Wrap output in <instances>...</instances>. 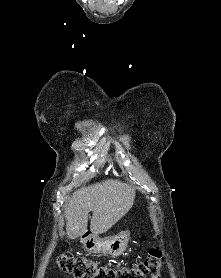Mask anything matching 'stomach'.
I'll list each match as a JSON object with an SVG mask.
<instances>
[{"label": "stomach", "mask_w": 221, "mask_h": 278, "mask_svg": "<svg viewBox=\"0 0 221 278\" xmlns=\"http://www.w3.org/2000/svg\"><path fill=\"white\" fill-rule=\"evenodd\" d=\"M129 239V231L106 238H100L94 233L81 236V242L87 252L102 253L113 257H118L126 251Z\"/></svg>", "instance_id": "obj_1"}]
</instances>
